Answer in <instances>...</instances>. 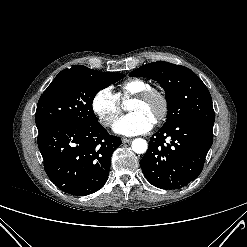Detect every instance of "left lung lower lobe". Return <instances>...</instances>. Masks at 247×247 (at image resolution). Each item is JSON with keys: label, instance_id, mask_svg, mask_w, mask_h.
Wrapping results in <instances>:
<instances>
[{"label": "left lung lower lobe", "instance_id": "left-lung-lower-lobe-1", "mask_svg": "<svg viewBox=\"0 0 247 247\" xmlns=\"http://www.w3.org/2000/svg\"><path fill=\"white\" fill-rule=\"evenodd\" d=\"M213 125L195 120L162 127L140 161L146 179L161 189H179L201 173L213 142Z\"/></svg>", "mask_w": 247, "mask_h": 247}]
</instances>
